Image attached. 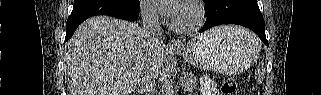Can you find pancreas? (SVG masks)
<instances>
[{"mask_svg": "<svg viewBox=\"0 0 321 95\" xmlns=\"http://www.w3.org/2000/svg\"><path fill=\"white\" fill-rule=\"evenodd\" d=\"M196 85V78L190 73H186L181 78V86L187 91H193Z\"/></svg>", "mask_w": 321, "mask_h": 95, "instance_id": "pancreas-1", "label": "pancreas"}]
</instances>
